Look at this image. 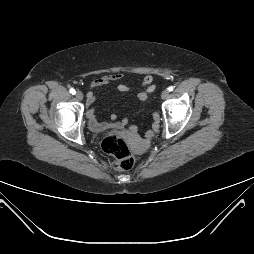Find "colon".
<instances>
[{
  "label": "colon",
  "mask_w": 254,
  "mask_h": 254,
  "mask_svg": "<svg viewBox=\"0 0 254 254\" xmlns=\"http://www.w3.org/2000/svg\"><path fill=\"white\" fill-rule=\"evenodd\" d=\"M102 148L114 158V169L126 171L133 167L134 153L119 134L108 135L102 142Z\"/></svg>",
  "instance_id": "obj_1"
}]
</instances>
